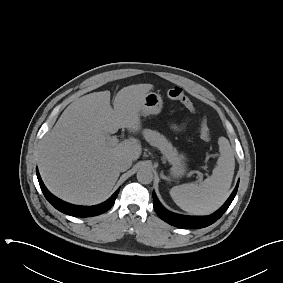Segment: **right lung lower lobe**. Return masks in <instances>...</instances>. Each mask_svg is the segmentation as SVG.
I'll use <instances>...</instances> for the list:
<instances>
[{"mask_svg": "<svg viewBox=\"0 0 283 283\" xmlns=\"http://www.w3.org/2000/svg\"><path fill=\"white\" fill-rule=\"evenodd\" d=\"M36 172H37V177H38L40 187H41V189L44 193V196L50 202V204L53 205L57 210L65 213V214L75 216V217H91V216H96V215L104 213L105 211L109 210L113 206L115 199H116L118 192H119V189H118L111 196L110 199H108L106 202L99 204V205H96V206H76V205H72V204H69L67 202H64V201L58 199L57 197H55L54 195H52L47 190L44 183L42 182V179L40 177L38 169H36Z\"/></svg>", "mask_w": 283, "mask_h": 283, "instance_id": "obj_1", "label": "right lung lower lobe"}]
</instances>
